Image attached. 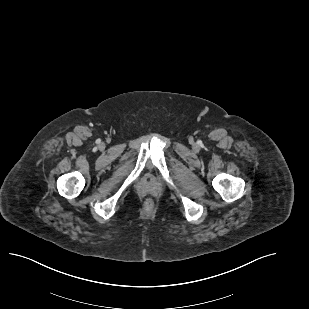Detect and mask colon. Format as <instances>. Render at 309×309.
<instances>
[{
    "mask_svg": "<svg viewBox=\"0 0 309 309\" xmlns=\"http://www.w3.org/2000/svg\"><path fill=\"white\" fill-rule=\"evenodd\" d=\"M146 205H147L148 207H152V206H153V200H152V199H147Z\"/></svg>",
    "mask_w": 309,
    "mask_h": 309,
    "instance_id": "1",
    "label": "colon"
}]
</instances>
